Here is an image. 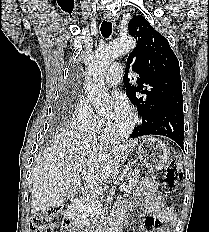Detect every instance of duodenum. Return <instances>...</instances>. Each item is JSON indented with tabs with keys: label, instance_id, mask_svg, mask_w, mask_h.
Masks as SVG:
<instances>
[{
	"label": "duodenum",
	"instance_id": "410a0bca",
	"mask_svg": "<svg viewBox=\"0 0 209 232\" xmlns=\"http://www.w3.org/2000/svg\"><path fill=\"white\" fill-rule=\"evenodd\" d=\"M81 203V197H73L66 210L67 221L64 223V230L69 232H86L83 225L76 219L75 212ZM99 232H120L119 223L114 222L108 227L102 228Z\"/></svg>",
	"mask_w": 209,
	"mask_h": 232
}]
</instances>
